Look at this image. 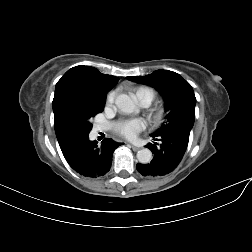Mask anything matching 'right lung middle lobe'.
Returning a JSON list of instances; mask_svg holds the SVG:
<instances>
[{
    "instance_id": "right-lung-middle-lobe-1",
    "label": "right lung middle lobe",
    "mask_w": 252,
    "mask_h": 252,
    "mask_svg": "<svg viewBox=\"0 0 252 252\" xmlns=\"http://www.w3.org/2000/svg\"><path fill=\"white\" fill-rule=\"evenodd\" d=\"M105 98L90 99L76 94L67 95L60 106V117L64 130L69 135L89 134L91 118L103 112Z\"/></svg>"
}]
</instances>
